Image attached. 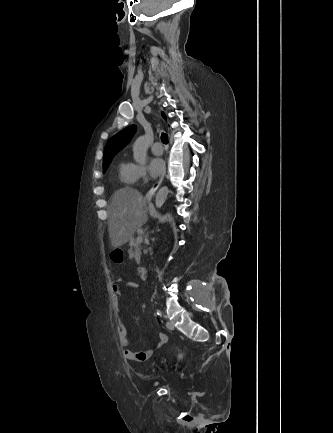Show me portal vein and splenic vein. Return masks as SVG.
<instances>
[{
  "label": "portal vein and splenic vein",
  "mask_w": 333,
  "mask_h": 433,
  "mask_svg": "<svg viewBox=\"0 0 333 433\" xmlns=\"http://www.w3.org/2000/svg\"><path fill=\"white\" fill-rule=\"evenodd\" d=\"M142 241H143L142 236H139V237L137 238V242H138V243H141Z\"/></svg>",
  "instance_id": "portal-vein-and-splenic-vein-1"
}]
</instances>
